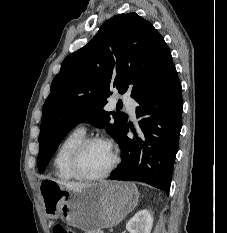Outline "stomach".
Returning a JSON list of instances; mask_svg holds the SVG:
<instances>
[{
    "instance_id": "obj_1",
    "label": "stomach",
    "mask_w": 227,
    "mask_h": 233,
    "mask_svg": "<svg viewBox=\"0 0 227 233\" xmlns=\"http://www.w3.org/2000/svg\"><path fill=\"white\" fill-rule=\"evenodd\" d=\"M39 191L49 219L60 218L88 232L116 226L137 206L139 199L134 184L120 181L70 189L53 180H44Z\"/></svg>"
}]
</instances>
